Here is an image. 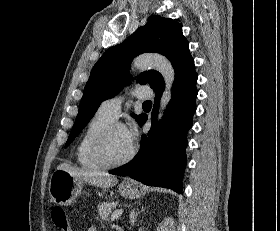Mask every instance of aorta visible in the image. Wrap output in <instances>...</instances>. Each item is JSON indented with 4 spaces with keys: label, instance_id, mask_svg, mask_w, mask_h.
I'll return each instance as SVG.
<instances>
[{
    "label": "aorta",
    "instance_id": "762f6f07",
    "mask_svg": "<svg viewBox=\"0 0 280 231\" xmlns=\"http://www.w3.org/2000/svg\"><path fill=\"white\" fill-rule=\"evenodd\" d=\"M133 68L136 70H147V68H154L162 74L165 82V92L160 100V110L158 114V119L163 116V110H165L168 102L171 100V88L175 80V72L172 64H170L167 58L164 56H159V54H143V56H138L133 60Z\"/></svg>",
    "mask_w": 280,
    "mask_h": 231
}]
</instances>
